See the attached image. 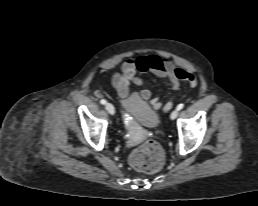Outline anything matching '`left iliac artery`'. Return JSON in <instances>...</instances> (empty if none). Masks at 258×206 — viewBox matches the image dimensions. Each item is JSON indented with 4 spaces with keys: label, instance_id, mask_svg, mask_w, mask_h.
Instances as JSON below:
<instances>
[{
    "label": "left iliac artery",
    "instance_id": "obj_1",
    "mask_svg": "<svg viewBox=\"0 0 258 206\" xmlns=\"http://www.w3.org/2000/svg\"><path fill=\"white\" fill-rule=\"evenodd\" d=\"M183 107H184V104L181 103V104H179V105L177 106L176 109H177V110H181Z\"/></svg>",
    "mask_w": 258,
    "mask_h": 206
}]
</instances>
